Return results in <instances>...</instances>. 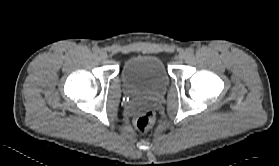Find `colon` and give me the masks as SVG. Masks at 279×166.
I'll list each match as a JSON object with an SVG mask.
<instances>
[{
  "label": "colon",
  "mask_w": 279,
  "mask_h": 166,
  "mask_svg": "<svg viewBox=\"0 0 279 166\" xmlns=\"http://www.w3.org/2000/svg\"><path fill=\"white\" fill-rule=\"evenodd\" d=\"M134 123L141 132L148 130L154 123V113L148 109L137 113L134 117Z\"/></svg>",
  "instance_id": "1"
}]
</instances>
